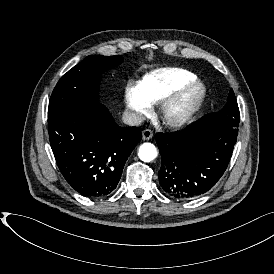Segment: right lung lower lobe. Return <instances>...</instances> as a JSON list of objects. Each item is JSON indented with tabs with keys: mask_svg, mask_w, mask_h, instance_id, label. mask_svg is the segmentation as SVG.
Listing matches in <instances>:
<instances>
[{
	"mask_svg": "<svg viewBox=\"0 0 274 274\" xmlns=\"http://www.w3.org/2000/svg\"><path fill=\"white\" fill-rule=\"evenodd\" d=\"M139 127L118 126L101 103L79 105L48 118V132L58 168L81 195H110L124 165L142 138Z\"/></svg>",
	"mask_w": 274,
	"mask_h": 274,
	"instance_id": "obj_1",
	"label": "right lung lower lobe"
}]
</instances>
